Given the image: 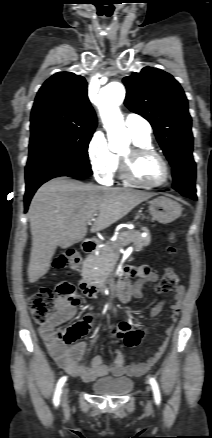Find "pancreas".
Here are the masks:
<instances>
[{"label":"pancreas","mask_w":212,"mask_h":438,"mask_svg":"<svg viewBox=\"0 0 212 438\" xmlns=\"http://www.w3.org/2000/svg\"><path fill=\"white\" fill-rule=\"evenodd\" d=\"M146 232L148 230L144 228ZM151 242V237L148 234L146 237H142L139 231H127L121 234L120 240L118 242H109L105 246L100 248L98 254L90 255L87 258V264L84 271L88 274L94 267H99L103 271H111L118 259H119V249L121 246L128 245L132 243L135 247V251H141L145 246H148Z\"/></svg>","instance_id":"obj_1"}]
</instances>
